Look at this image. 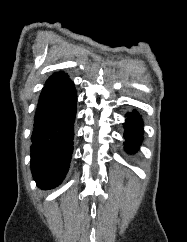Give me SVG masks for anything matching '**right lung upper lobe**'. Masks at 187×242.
I'll list each match as a JSON object with an SVG mask.
<instances>
[{
  "label": "right lung upper lobe",
  "mask_w": 187,
  "mask_h": 242,
  "mask_svg": "<svg viewBox=\"0 0 187 242\" xmlns=\"http://www.w3.org/2000/svg\"><path fill=\"white\" fill-rule=\"evenodd\" d=\"M66 76H67V74L64 73V72L54 73L52 76L49 77V79L46 81V83L54 82V81L59 80L63 77H66Z\"/></svg>",
  "instance_id": "1"
}]
</instances>
